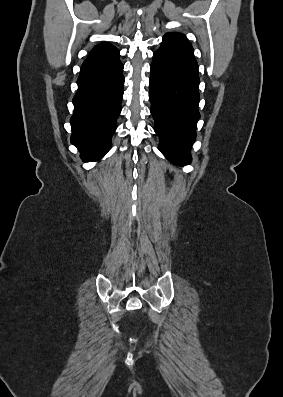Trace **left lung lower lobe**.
<instances>
[{
  "mask_svg": "<svg viewBox=\"0 0 283 397\" xmlns=\"http://www.w3.org/2000/svg\"><path fill=\"white\" fill-rule=\"evenodd\" d=\"M150 73L149 99L159 150L172 163L187 165L200 118L198 64L162 44L153 54Z\"/></svg>",
  "mask_w": 283,
  "mask_h": 397,
  "instance_id": "obj_1",
  "label": "left lung lower lobe"
}]
</instances>
